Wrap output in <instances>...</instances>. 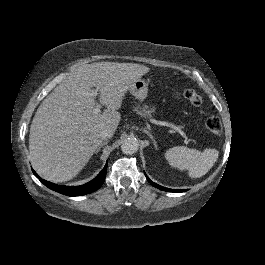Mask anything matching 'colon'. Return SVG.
I'll use <instances>...</instances> for the list:
<instances>
[{"instance_id":"colon-1","label":"colon","mask_w":265,"mask_h":265,"mask_svg":"<svg viewBox=\"0 0 265 265\" xmlns=\"http://www.w3.org/2000/svg\"><path fill=\"white\" fill-rule=\"evenodd\" d=\"M184 98L194 107H200L202 104L201 96L193 89L184 90ZM206 127L209 132L213 134H219L222 130L221 121L217 116H210L206 120Z\"/></svg>"}]
</instances>
